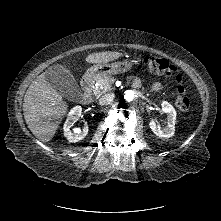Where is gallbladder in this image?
<instances>
[{
	"label": "gallbladder",
	"instance_id": "1",
	"mask_svg": "<svg viewBox=\"0 0 221 221\" xmlns=\"http://www.w3.org/2000/svg\"><path fill=\"white\" fill-rule=\"evenodd\" d=\"M47 83L66 99H73L78 93V85L71 72L64 66L56 64L45 73Z\"/></svg>",
	"mask_w": 221,
	"mask_h": 221
}]
</instances>
